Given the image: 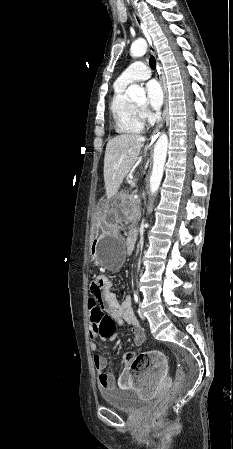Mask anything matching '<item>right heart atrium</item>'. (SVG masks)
Returning <instances> with one entry per match:
<instances>
[{"mask_svg":"<svg viewBox=\"0 0 233 449\" xmlns=\"http://www.w3.org/2000/svg\"><path fill=\"white\" fill-rule=\"evenodd\" d=\"M141 114L143 115V117L149 121H151L153 119V114L151 112H149L146 109H141Z\"/></svg>","mask_w":233,"mask_h":449,"instance_id":"right-heart-atrium-1","label":"right heart atrium"}]
</instances>
